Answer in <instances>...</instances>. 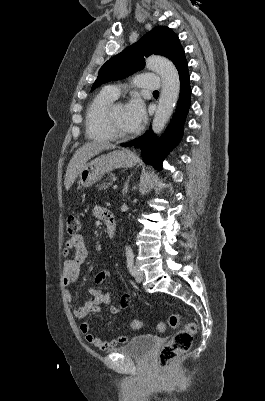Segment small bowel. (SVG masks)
I'll return each mask as SVG.
<instances>
[{
	"label": "small bowel",
	"mask_w": 265,
	"mask_h": 401,
	"mask_svg": "<svg viewBox=\"0 0 265 401\" xmlns=\"http://www.w3.org/2000/svg\"><path fill=\"white\" fill-rule=\"evenodd\" d=\"M105 210L106 209L102 207L96 206L93 212L97 218L102 219ZM62 253L65 257H68L73 253V256L66 259L62 266L63 284L68 287L77 281L80 274V268L88 257V250L83 236L76 234L69 238L64 245ZM110 274L108 268H103L96 274L94 279L95 287L89 289L88 297L82 306H73L72 294L69 290L66 291V300L72 306V313L76 319L82 320L90 313L99 312L101 305H109L112 302L114 293L107 283ZM129 303V294H124L121 297L119 304L110 307V312L113 315H117L128 307ZM79 328L86 342L102 351L110 350L117 345L124 344L128 341V338L125 335H120L117 338L108 341L102 340L91 332L90 325L87 322H82Z\"/></svg>",
	"instance_id": "small-bowel-1"
}]
</instances>
